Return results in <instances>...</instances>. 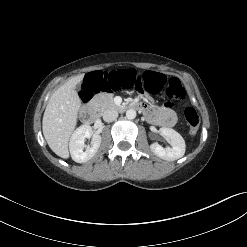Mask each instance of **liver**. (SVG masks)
Returning a JSON list of instances; mask_svg holds the SVG:
<instances>
[{"label": "liver", "instance_id": "obj_1", "mask_svg": "<svg viewBox=\"0 0 247 247\" xmlns=\"http://www.w3.org/2000/svg\"><path fill=\"white\" fill-rule=\"evenodd\" d=\"M82 79L83 75L73 77L59 87L50 97L43 115V135L51 150L64 159L69 158L68 142L81 107L75 87Z\"/></svg>", "mask_w": 247, "mask_h": 247}]
</instances>
